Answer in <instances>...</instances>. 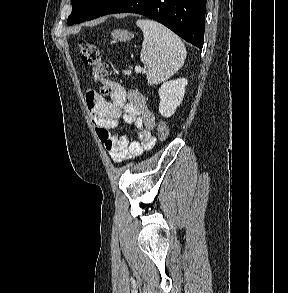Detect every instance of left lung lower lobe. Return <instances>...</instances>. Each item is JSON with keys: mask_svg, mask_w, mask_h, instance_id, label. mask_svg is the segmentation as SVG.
<instances>
[{"mask_svg": "<svg viewBox=\"0 0 288 293\" xmlns=\"http://www.w3.org/2000/svg\"><path fill=\"white\" fill-rule=\"evenodd\" d=\"M206 0H116L100 16L136 13L154 19L202 49Z\"/></svg>", "mask_w": 288, "mask_h": 293, "instance_id": "obj_1", "label": "left lung lower lobe"}]
</instances>
